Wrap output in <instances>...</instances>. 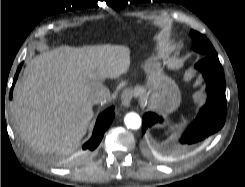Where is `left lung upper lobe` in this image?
<instances>
[{
    "label": "left lung upper lobe",
    "mask_w": 245,
    "mask_h": 187,
    "mask_svg": "<svg viewBox=\"0 0 245 187\" xmlns=\"http://www.w3.org/2000/svg\"><path fill=\"white\" fill-rule=\"evenodd\" d=\"M190 34L192 37V46L196 52L203 54L204 57L216 54L211 42L204 35L194 30H191Z\"/></svg>",
    "instance_id": "5c2ea615"
}]
</instances>
